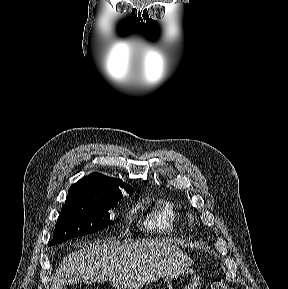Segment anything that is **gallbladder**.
Listing matches in <instances>:
<instances>
[{
	"instance_id": "bac80fb5",
	"label": "gallbladder",
	"mask_w": 288,
	"mask_h": 289,
	"mask_svg": "<svg viewBox=\"0 0 288 289\" xmlns=\"http://www.w3.org/2000/svg\"><path fill=\"white\" fill-rule=\"evenodd\" d=\"M80 281L81 280L78 277H71V278L68 279L66 284H69V285L76 284V283H79Z\"/></svg>"
}]
</instances>
